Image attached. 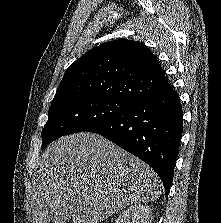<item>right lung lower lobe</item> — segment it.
<instances>
[{"label":"right lung lower lobe","instance_id":"obj_1","mask_svg":"<svg viewBox=\"0 0 221 223\" xmlns=\"http://www.w3.org/2000/svg\"><path fill=\"white\" fill-rule=\"evenodd\" d=\"M86 131L102 135L150 165L160 176L167 198L183 132L182 107L176 91L170 89L135 102Z\"/></svg>","mask_w":221,"mask_h":223}]
</instances>
